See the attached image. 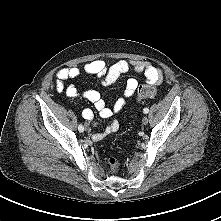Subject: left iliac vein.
Wrapping results in <instances>:
<instances>
[{
  "mask_svg": "<svg viewBox=\"0 0 221 221\" xmlns=\"http://www.w3.org/2000/svg\"><path fill=\"white\" fill-rule=\"evenodd\" d=\"M142 123H143V125H147L148 124V117H143V119H142Z\"/></svg>",
  "mask_w": 221,
  "mask_h": 221,
  "instance_id": "obj_1",
  "label": "left iliac vein"
}]
</instances>
